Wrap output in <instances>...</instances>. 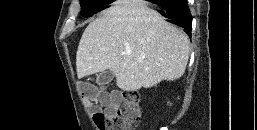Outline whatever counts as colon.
Returning <instances> with one entry per match:
<instances>
[{"label": "colon", "mask_w": 257, "mask_h": 130, "mask_svg": "<svg viewBox=\"0 0 257 130\" xmlns=\"http://www.w3.org/2000/svg\"><path fill=\"white\" fill-rule=\"evenodd\" d=\"M79 91L82 97L92 98L99 91L90 82H80ZM140 95L136 91L122 94L121 105L110 112H95L93 120L99 130H131L141 119Z\"/></svg>", "instance_id": "colon-1"}]
</instances>
